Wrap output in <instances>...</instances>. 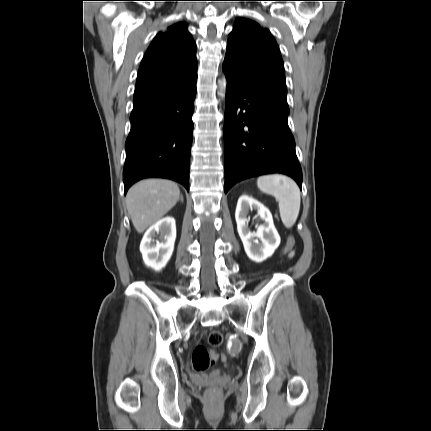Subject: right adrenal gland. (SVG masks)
<instances>
[{
    "instance_id": "2a0ac1e0",
    "label": "right adrenal gland",
    "mask_w": 431,
    "mask_h": 431,
    "mask_svg": "<svg viewBox=\"0 0 431 431\" xmlns=\"http://www.w3.org/2000/svg\"><path fill=\"white\" fill-rule=\"evenodd\" d=\"M180 201L183 202V196L182 195L180 196Z\"/></svg>"
}]
</instances>
